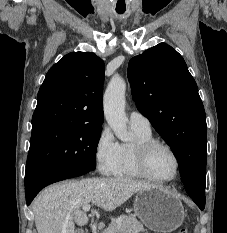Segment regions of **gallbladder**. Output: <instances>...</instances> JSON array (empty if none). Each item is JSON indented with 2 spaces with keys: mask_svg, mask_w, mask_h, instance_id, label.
Listing matches in <instances>:
<instances>
[{
  "mask_svg": "<svg viewBox=\"0 0 227 233\" xmlns=\"http://www.w3.org/2000/svg\"><path fill=\"white\" fill-rule=\"evenodd\" d=\"M75 233H85V232H84V230H82V229H78V230H76Z\"/></svg>",
  "mask_w": 227,
  "mask_h": 233,
  "instance_id": "1",
  "label": "gallbladder"
}]
</instances>
